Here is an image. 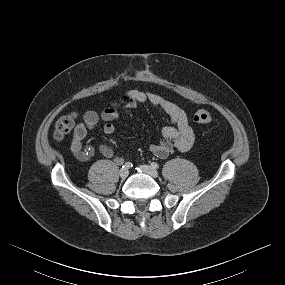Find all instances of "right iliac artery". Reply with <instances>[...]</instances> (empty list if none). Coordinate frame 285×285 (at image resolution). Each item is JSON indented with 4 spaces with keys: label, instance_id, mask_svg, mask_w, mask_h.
Instances as JSON below:
<instances>
[{
    "label": "right iliac artery",
    "instance_id": "obj_1",
    "mask_svg": "<svg viewBox=\"0 0 285 285\" xmlns=\"http://www.w3.org/2000/svg\"><path fill=\"white\" fill-rule=\"evenodd\" d=\"M132 166H133V165H132L131 162H126V163L122 166V168H123V169H130Z\"/></svg>",
    "mask_w": 285,
    "mask_h": 285
}]
</instances>
